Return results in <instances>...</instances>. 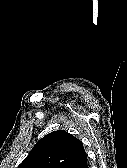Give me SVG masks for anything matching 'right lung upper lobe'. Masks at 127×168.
Masks as SVG:
<instances>
[{"mask_svg":"<svg viewBox=\"0 0 127 168\" xmlns=\"http://www.w3.org/2000/svg\"><path fill=\"white\" fill-rule=\"evenodd\" d=\"M86 161L82 142L59 130L40 139L18 168H78Z\"/></svg>","mask_w":127,"mask_h":168,"instance_id":"obj_1","label":"right lung upper lobe"}]
</instances>
